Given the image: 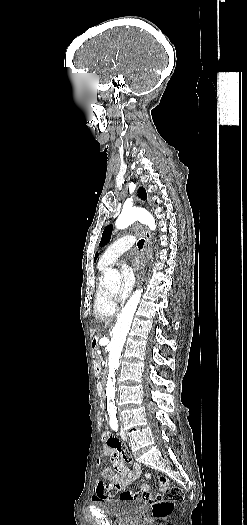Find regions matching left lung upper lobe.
<instances>
[{
	"label": "left lung upper lobe",
	"mask_w": 247,
	"mask_h": 525,
	"mask_svg": "<svg viewBox=\"0 0 247 525\" xmlns=\"http://www.w3.org/2000/svg\"><path fill=\"white\" fill-rule=\"evenodd\" d=\"M138 192H139V197L142 200H145L147 198V194H146L145 189L143 187H140ZM111 234H112V226L109 225L103 231L101 242L99 244L101 247L105 246L110 241ZM97 257H98V253L95 254L94 261H96Z\"/></svg>",
	"instance_id": "left-lung-upper-lobe-1"
}]
</instances>
